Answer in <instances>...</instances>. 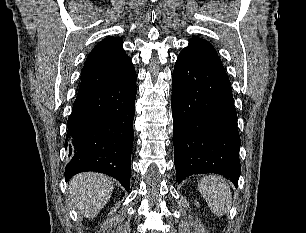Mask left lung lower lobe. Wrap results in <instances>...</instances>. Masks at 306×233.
<instances>
[{
    "mask_svg": "<svg viewBox=\"0 0 306 233\" xmlns=\"http://www.w3.org/2000/svg\"><path fill=\"white\" fill-rule=\"evenodd\" d=\"M176 179L218 173L237 187L240 136L231 84L222 63L181 52L172 76Z\"/></svg>",
    "mask_w": 306,
    "mask_h": 233,
    "instance_id": "obj_1",
    "label": "left lung lower lobe"
}]
</instances>
